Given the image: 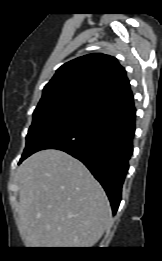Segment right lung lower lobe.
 <instances>
[{
	"label": "right lung lower lobe",
	"instance_id": "98d812e1",
	"mask_svg": "<svg viewBox=\"0 0 162 261\" xmlns=\"http://www.w3.org/2000/svg\"><path fill=\"white\" fill-rule=\"evenodd\" d=\"M135 117L132 93L110 100L56 129L19 163L43 149L67 152L101 183L115 214L133 153Z\"/></svg>",
	"mask_w": 162,
	"mask_h": 261
}]
</instances>
